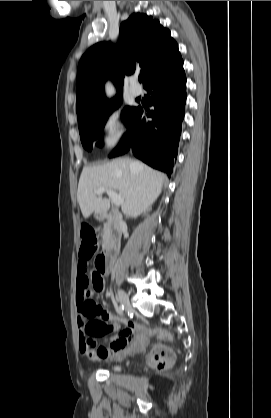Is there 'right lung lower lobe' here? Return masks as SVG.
<instances>
[{"label":"right lung lower lobe","mask_w":271,"mask_h":418,"mask_svg":"<svg viewBox=\"0 0 271 418\" xmlns=\"http://www.w3.org/2000/svg\"><path fill=\"white\" fill-rule=\"evenodd\" d=\"M145 89L151 94L150 105L154 110L146 112L138 107L127 123L124 141L110 157L123 155L132 149L137 158L170 176L177 157L186 103L183 60L152 79ZM148 117L152 120L149 121Z\"/></svg>","instance_id":"98d812e1"}]
</instances>
